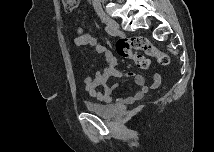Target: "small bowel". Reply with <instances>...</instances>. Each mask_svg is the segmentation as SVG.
Segmentation results:
<instances>
[{"label": "small bowel", "mask_w": 215, "mask_h": 152, "mask_svg": "<svg viewBox=\"0 0 215 152\" xmlns=\"http://www.w3.org/2000/svg\"><path fill=\"white\" fill-rule=\"evenodd\" d=\"M76 32L77 34L73 39L75 46H90L104 58L103 70L96 72L94 77H86L84 80L87 91L99 101L108 103L113 100V91L119 88L118 83L109 85V81L114 77H130L138 87V90L132 95L117 97L116 102L118 104L132 103L141 99L150 89H156L160 86L162 80L160 74H155L152 84L146 86L142 75L131 71L122 72L119 70L114 53L97 38L85 32L81 27H78Z\"/></svg>", "instance_id": "small-bowel-1"}]
</instances>
